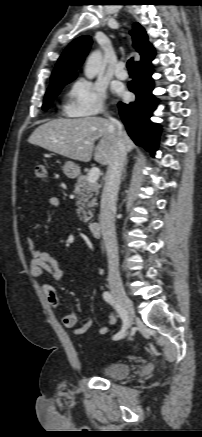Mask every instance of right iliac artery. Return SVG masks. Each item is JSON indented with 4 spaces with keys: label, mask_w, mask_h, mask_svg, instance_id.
<instances>
[{
    "label": "right iliac artery",
    "mask_w": 202,
    "mask_h": 437,
    "mask_svg": "<svg viewBox=\"0 0 202 437\" xmlns=\"http://www.w3.org/2000/svg\"><path fill=\"white\" fill-rule=\"evenodd\" d=\"M103 298L106 302H108L110 305H112L114 307V309L117 311V313L119 314V316L121 317L122 321H123V326L122 329L113 336L114 340H119L121 339L124 335H125V331L127 329V314L125 309L119 304L117 303V301L115 300L114 296L108 292L105 291L103 293Z\"/></svg>",
    "instance_id": "right-iliac-artery-1"
}]
</instances>
